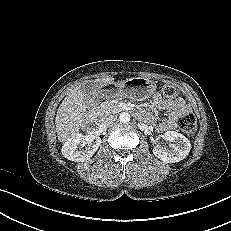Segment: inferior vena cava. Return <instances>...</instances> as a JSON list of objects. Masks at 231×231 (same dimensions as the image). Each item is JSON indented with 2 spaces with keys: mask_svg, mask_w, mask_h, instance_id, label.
Returning a JSON list of instances; mask_svg holds the SVG:
<instances>
[{
  "mask_svg": "<svg viewBox=\"0 0 231 231\" xmlns=\"http://www.w3.org/2000/svg\"><path fill=\"white\" fill-rule=\"evenodd\" d=\"M116 120H117L116 115L107 114L101 119V122L105 126H111Z\"/></svg>",
  "mask_w": 231,
  "mask_h": 231,
  "instance_id": "obj_1",
  "label": "inferior vena cava"
}]
</instances>
